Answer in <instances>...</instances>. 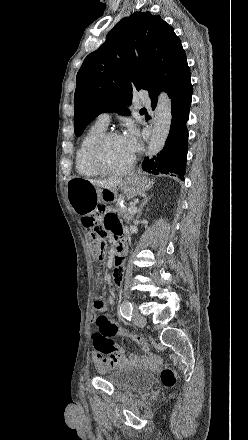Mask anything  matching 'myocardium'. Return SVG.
I'll return each instance as SVG.
<instances>
[{
	"label": "myocardium",
	"instance_id": "1",
	"mask_svg": "<svg viewBox=\"0 0 248 440\" xmlns=\"http://www.w3.org/2000/svg\"><path fill=\"white\" fill-rule=\"evenodd\" d=\"M114 137H122L121 134L117 131H106L104 132L94 143L91 152H90V161L94 169L101 175L105 176H122L129 172H131L136 163V157L133 156L130 164L120 170H110L108 169L103 162V152L107 142Z\"/></svg>",
	"mask_w": 248,
	"mask_h": 440
}]
</instances>
